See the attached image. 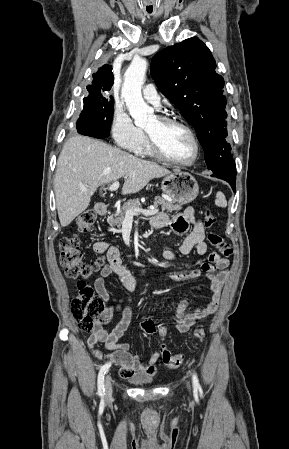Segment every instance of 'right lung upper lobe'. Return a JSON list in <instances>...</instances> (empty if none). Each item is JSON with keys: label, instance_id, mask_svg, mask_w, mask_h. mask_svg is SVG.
Here are the masks:
<instances>
[{"label": "right lung upper lobe", "instance_id": "right-lung-upper-lobe-1", "mask_svg": "<svg viewBox=\"0 0 289 449\" xmlns=\"http://www.w3.org/2000/svg\"><path fill=\"white\" fill-rule=\"evenodd\" d=\"M93 78L92 85L87 86L89 96L103 94L105 91H109L114 82L112 67L105 64L97 71L96 74H93ZM109 98L113 97L110 96Z\"/></svg>", "mask_w": 289, "mask_h": 449}]
</instances>
